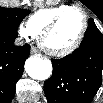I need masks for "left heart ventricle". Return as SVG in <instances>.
I'll use <instances>...</instances> for the list:
<instances>
[{"label":"left heart ventricle","instance_id":"obj_1","mask_svg":"<svg viewBox=\"0 0 103 103\" xmlns=\"http://www.w3.org/2000/svg\"><path fill=\"white\" fill-rule=\"evenodd\" d=\"M84 19L79 11L67 15L47 36L46 45L54 50H61L72 45L83 29Z\"/></svg>","mask_w":103,"mask_h":103}]
</instances>
